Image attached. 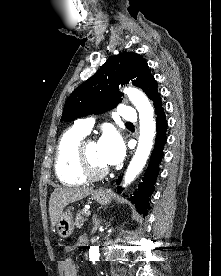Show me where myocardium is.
Wrapping results in <instances>:
<instances>
[{"instance_id":"myocardium-1","label":"myocardium","mask_w":221,"mask_h":276,"mask_svg":"<svg viewBox=\"0 0 221 276\" xmlns=\"http://www.w3.org/2000/svg\"><path fill=\"white\" fill-rule=\"evenodd\" d=\"M90 142H94L92 139H83L78 146V159L79 165L83 175L90 180H99L104 178L108 173L109 169L96 170L91 164L87 155V145Z\"/></svg>"}]
</instances>
